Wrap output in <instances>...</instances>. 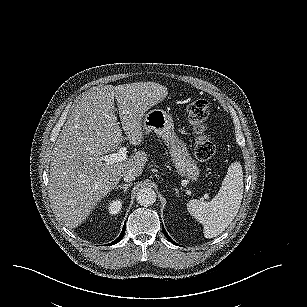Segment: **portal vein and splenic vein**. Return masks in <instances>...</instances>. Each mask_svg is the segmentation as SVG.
Returning a JSON list of instances; mask_svg holds the SVG:
<instances>
[{
	"label": "portal vein and splenic vein",
	"instance_id": "portal-vein-and-splenic-vein-1",
	"mask_svg": "<svg viewBox=\"0 0 307 307\" xmlns=\"http://www.w3.org/2000/svg\"><path fill=\"white\" fill-rule=\"evenodd\" d=\"M102 159L107 164L125 161L127 159V148L121 147L117 153L105 155Z\"/></svg>",
	"mask_w": 307,
	"mask_h": 307
}]
</instances>
